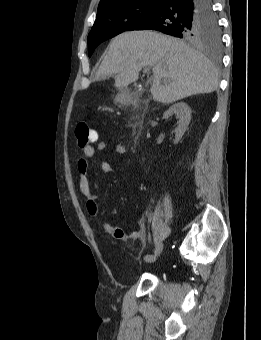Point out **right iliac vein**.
Listing matches in <instances>:
<instances>
[{"instance_id":"right-iliac-vein-1","label":"right iliac vein","mask_w":261,"mask_h":340,"mask_svg":"<svg viewBox=\"0 0 261 340\" xmlns=\"http://www.w3.org/2000/svg\"><path fill=\"white\" fill-rule=\"evenodd\" d=\"M163 250H164V243L163 242L158 243L153 253V256L155 257V259L163 252Z\"/></svg>"}]
</instances>
